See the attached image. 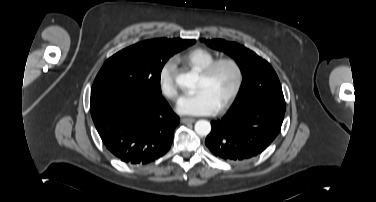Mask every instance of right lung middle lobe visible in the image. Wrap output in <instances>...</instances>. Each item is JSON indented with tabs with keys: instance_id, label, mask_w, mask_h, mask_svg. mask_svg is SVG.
Segmentation results:
<instances>
[{
	"instance_id": "obj_1",
	"label": "right lung middle lobe",
	"mask_w": 376,
	"mask_h": 202,
	"mask_svg": "<svg viewBox=\"0 0 376 202\" xmlns=\"http://www.w3.org/2000/svg\"><path fill=\"white\" fill-rule=\"evenodd\" d=\"M195 40H146L110 57L93 83L91 93L106 89H135L161 95L160 74L166 61Z\"/></svg>"
}]
</instances>
